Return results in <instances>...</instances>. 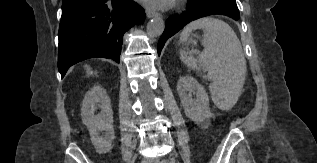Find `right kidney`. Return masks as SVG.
<instances>
[{"label": "right kidney", "instance_id": "ca27d5eb", "mask_svg": "<svg viewBox=\"0 0 317 163\" xmlns=\"http://www.w3.org/2000/svg\"><path fill=\"white\" fill-rule=\"evenodd\" d=\"M97 103H100L101 111L95 114ZM81 116L89 130L91 142L96 151L103 154L111 150L115 138L113 111L104 88L95 85L86 93L82 103Z\"/></svg>", "mask_w": 317, "mask_h": 163}]
</instances>
